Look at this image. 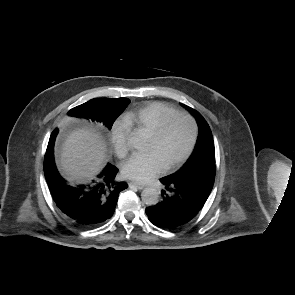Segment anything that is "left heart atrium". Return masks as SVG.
I'll return each instance as SVG.
<instances>
[{
    "label": "left heart atrium",
    "instance_id": "left-heart-atrium-1",
    "mask_svg": "<svg viewBox=\"0 0 295 295\" xmlns=\"http://www.w3.org/2000/svg\"><path fill=\"white\" fill-rule=\"evenodd\" d=\"M165 166L157 153L131 156L123 165L124 175L134 181L145 183L163 172Z\"/></svg>",
    "mask_w": 295,
    "mask_h": 295
}]
</instances>
